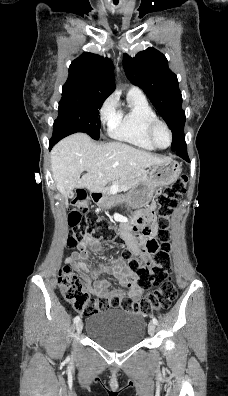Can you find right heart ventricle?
I'll use <instances>...</instances> for the list:
<instances>
[{"mask_svg":"<svg viewBox=\"0 0 228 396\" xmlns=\"http://www.w3.org/2000/svg\"><path fill=\"white\" fill-rule=\"evenodd\" d=\"M157 118L154 109L142 94L128 93L127 106L117 110V116L109 125L111 137L144 150H154L146 135L147 124Z\"/></svg>","mask_w":228,"mask_h":396,"instance_id":"1","label":"right heart ventricle"}]
</instances>
